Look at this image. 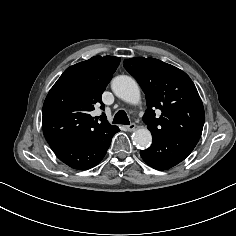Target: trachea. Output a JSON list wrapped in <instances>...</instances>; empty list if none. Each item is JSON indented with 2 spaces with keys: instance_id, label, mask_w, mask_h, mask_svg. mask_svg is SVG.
Returning <instances> with one entry per match:
<instances>
[{
  "instance_id": "trachea-1",
  "label": "trachea",
  "mask_w": 236,
  "mask_h": 236,
  "mask_svg": "<svg viewBox=\"0 0 236 236\" xmlns=\"http://www.w3.org/2000/svg\"><path fill=\"white\" fill-rule=\"evenodd\" d=\"M113 124H125V125L130 124L128 116L124 110H119L115 114L114 119H113Z\"/></svg>"
}]
</instances>
